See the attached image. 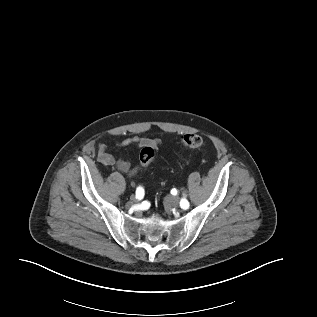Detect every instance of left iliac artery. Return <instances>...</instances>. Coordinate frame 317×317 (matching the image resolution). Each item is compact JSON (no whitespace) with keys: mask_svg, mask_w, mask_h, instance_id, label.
Segmentation results:
<instances>
[{"mask_svg":"<svg viewBox=\"0 0 317 317\" xmlns=\"http://www.w3.org/2000/svg\"><path fill=\"white\" fill-rule=\"evenodd\" d=\"M180 204L183 209H187L190 206L189 202L185 198L181 199Z\"/></svg>","mask_w":317,"mask_h":317,"instance_id":"1","label":"left iliac artery"}]
</instances>
